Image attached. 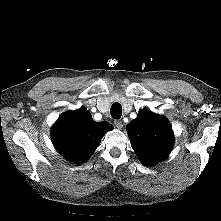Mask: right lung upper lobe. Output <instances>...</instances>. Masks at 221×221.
<instances>
[{
    "label": "right lung upper lobe",
    "mask_w": 221,
    "mask_h": 221,
    "mask_svg": "<svg viewBox=\"0 0 221 221\" xmlns=\"http://www.w3.org/2000/svg\"><path fill=\"white\" fill-rule=\"evenodd\" d=\"M113 126L95 122L84 107L62 114L52 128L55 148L75 163L86 161L98 147L104 133Z\"/></svg>",
    "instance_id": "right-lung-upper-lobe-1"
}]
</instances>
